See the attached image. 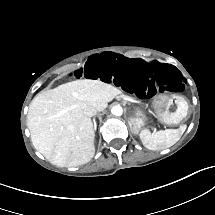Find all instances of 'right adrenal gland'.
<instances>
[{
  "label": "right adrenal gland",
  "mask_w": 215,
  "mask_h": 215,
  "mask_svg": "<svg viewBox=\"0 0 215 215\" xmlns=\"http://www.w3.org/2000/svg\"><path fill=\"white\" fill-rule=\"evenodd\" d=\"M93 123H94V130H96L97 129V124H96L95 119H93Z\"/></svg>",
  "instance_id": "1"
}]
</instances>
